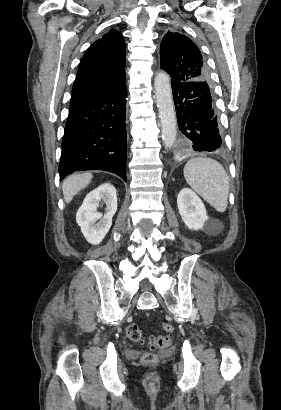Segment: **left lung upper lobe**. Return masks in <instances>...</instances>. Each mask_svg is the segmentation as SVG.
Here are the masks:
<instances>
[{
  "instance_id": "left-lung-upper-lobe-1",
  "label": "left lung upper lobe",
  "mask_w": 281,
  "mask_h": 410,
  "mask_svg": "<svg viewBox=\"0 0 281 410\" xmlns=\"http://www.w3.org/2000/svg\"><path fill=\"white\" fill-rule=\"evenodd\" d=\"M160 67L171 82L210 81L208 69L198 47L186 36L168 31L160 47Z\"/></svg>"
}]
</instances>
